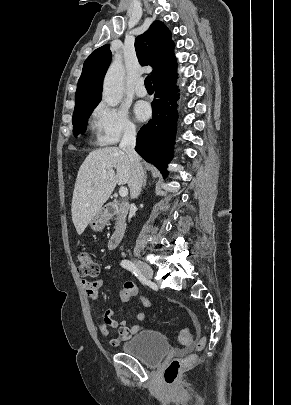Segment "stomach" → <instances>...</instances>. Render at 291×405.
<instances>
[{
  "mask_svg": "<svg viewBox=\"0 0 291 405\" xmlns=\"http://www.w3.org/2000/svg\"><path fill=\"white\" fill-rule=\"evenodd\" d=\"M109 219L110 213L104 208H102L96 213V215L92 218L89 224L93 231L98 232L105 227Z\"/></svg>",
  "mask_w": 291,
  "mask_h": 405,
  "instance_id": "obj_1",
  "label": "stomach"
}]
</instances>
